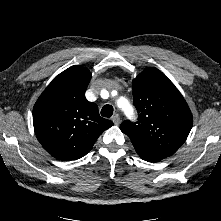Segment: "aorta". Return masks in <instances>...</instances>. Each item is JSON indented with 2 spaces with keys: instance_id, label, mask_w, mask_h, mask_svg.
Listing matches in <instances>:
<instances>
[{
  "instance_id": "aorta-1",
  "label": "aorta",
  "mask_w": 221,
  "mask_h": 221,
  "mask_svg": "<svg viewBox=\"0 0 221 221\" xmlns=\"http://www.w3.org/2000/svg\"><path fill=\"white\" fill-rule=\"evenodd\" d=\"M124 112L126 113L127 116H132L133 115V109H132V106H130L129 104H127L125 107H124Z\"/></svg>"
}]
</instances>
